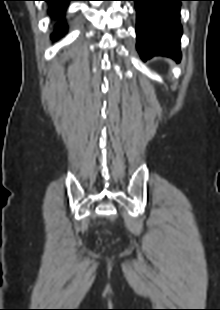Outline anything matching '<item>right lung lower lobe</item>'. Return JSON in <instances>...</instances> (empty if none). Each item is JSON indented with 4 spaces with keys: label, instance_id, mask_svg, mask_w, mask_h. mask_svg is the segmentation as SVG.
<instances>
[{
    "label": "right lung lower lobe",
    "instance_id": "98d812e1",
    "mask_svg": "<svg viewBox=\"0 0 220 310\" xmlns=\"http://www.w3.org/2000/svg\"><path fill=\"white\" fill-rule=\"evenodd\" d=\"M49 3L48 14L55 19H64L67 7L70 1L75 0H43ZM67 24L60 22L56 23L55 31L51 35L52 39H56L58 36H63L67 32Z\"/></svg>",
    "mask_w": 220,
    "mask_h": 310
}]
</instances>
